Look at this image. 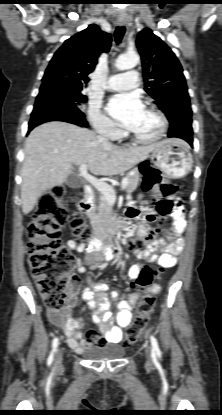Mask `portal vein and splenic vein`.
<instances>
[{
  "label": "portal vein and splenic vein",
  "mask_w": 222,
  "mask_h": 415,
  "mask_svg": "<svg viewBox=\"0 0 222 415\" xmlns=\"http://www.w3.org/2000/svg\"><path fill=\"white\" fill-rule=\"evenodd\" d=\"M88 166L86 164H81L79 167L80 174L98 191H100L106 198V200L113 204L116 201V193L112 186L109 184L97 179L96 177L88 174ZM128 185V178H124L121 183V189L124 190Z\"/></svg>",
  "instance_id": "portal-vein-and-splenic-vein-1"
}]
</instances>
